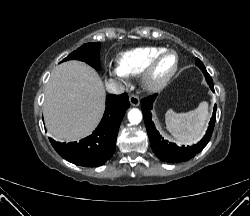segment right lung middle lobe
<instances>
[{
	"label": "right lung middle lobe",
	"mask_w": 250,
	"mask_h": 216,
	"mask_svg": "<svg viewBox=\"0 0 250 216\" xmlns=\"http://www.w3.org/2000/svg\"><path fill=\"white\" fill-rule=\"evenodd\" d=\"M77 59L84 61L94 67L96 70L100 69V43L84 44L76 51L72 52L63 61Z\"/></svg>",
	"instance_id": "obj_1"
}]
</instances>
